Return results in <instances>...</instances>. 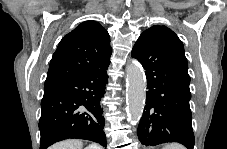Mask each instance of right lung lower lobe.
Masks as SVG:
<instances>
[{
    "instance_id": "obj_1",
    "label": "right lung lower lobe",
    "mask_w": 227,
    "mask_h": 149,
    "mask_svg": "<svg viewBox=\"0 0 227 149\" xmlns=\"http://www.w3.org/2000/svg\"><path fill=\"white\" fill-rule=\"evenodd\" d=\"M109 63L44 89L39 120L40 149L69 138L106 146L100 100L105 93Z\"/></svg>"
}]
</instances>
